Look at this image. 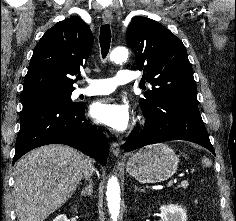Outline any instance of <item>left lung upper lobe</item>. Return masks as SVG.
<instances>
[{
    "instance_id": "5c2ea615",
    "label": "left lung upper lobe",
    "mask_w": 236,
    "mask_h": 221,
    "mask_svg": "<svg viewBox=\"0 0 236 221\" xmlns=\"http://www.w3.org/2000/svg\"><path fill=\"white\" fill-rule=\"evenodd\" d=\"M126 43L134 53L137 69L152 90L140 98L142 111L154 108L168 98L197 101L196 82L187 51L180 39L157 21L134 17L127 28Z\"/></svg>"
}]
</instances>
